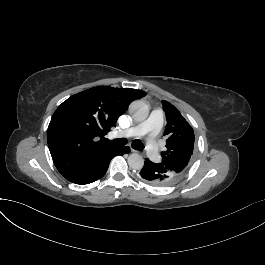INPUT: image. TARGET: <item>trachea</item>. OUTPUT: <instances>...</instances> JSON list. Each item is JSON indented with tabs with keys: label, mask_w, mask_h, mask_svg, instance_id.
<instances>
[{
	"label": "trachea",
	"mask_w": 265,
	"mask_h": 265,
	"mask_svg": "<svg viewBox=\"0 0 265 265\" xmlns=\"http://www.w3.org/2000/svg\"><path fill=\"white\" fill-rule=\"evenodd\" d=\"M126 139L121 138V139H114L113 141H111L110 143L114 146L117 147H122L126 144ZM132 147L136 150H142L144 148L143 144L141 143V141L139 140H134L132 142Z\"/></svg>",
	"instance_id": "3493384b"
}]
</instances>
